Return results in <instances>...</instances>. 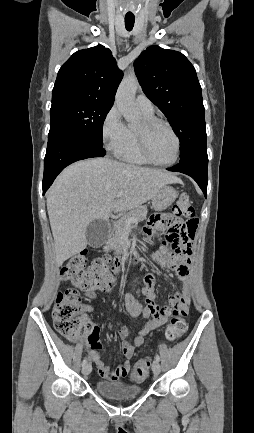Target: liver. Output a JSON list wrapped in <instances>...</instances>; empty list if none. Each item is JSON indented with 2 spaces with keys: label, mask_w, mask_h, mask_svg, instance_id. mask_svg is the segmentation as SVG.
<instances>
[{
  "label": "liver",
  "mask_w": 254,
  "mask_h": 433,
  "mask_svg": "<svg viewBox=\"0 0 254 433\" xmlns=\"http://www.w3.org/2000/svg\"><path fill=\"white\" fill-rule=\"evenodd\" d=\"M179 181L165 170L109 158L82 160L67 167L47 194L57 266L86 248V229L93 220H108L111 212L141 206L164 185ZM119 192L123 195L117 199Z\"/></svg>",
  "instance_id": "6515ba94"
}]
</instances>
